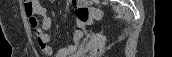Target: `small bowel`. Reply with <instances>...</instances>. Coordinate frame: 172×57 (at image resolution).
Listing matches in <instances>:
<instances>
[{
  "mask_svg": "<svg viewBox=\"0 0 172 57\" xmlns=\"http://www.w3.org/2000/svg\"><path fill=\"white\" fill-rule=\"evenodd\" d=\"M25 14L27 16L28 25L33 30L38 46L43 53L52 57H69L74 53L84 51L82 43V31L77 30L74 33L72 42L58 50L50 45V35L48 30L51 27V18L47 15L46 9L39 0L25 1ZM41 18V20L39 19Z\"/></svg>",
  "mask_w": 172,
  "mask_h": 57,
  "instance_id": "small-bowel-1",
  "label": "small bowel"
}]
</instances>
